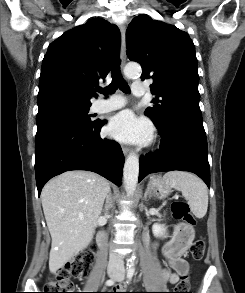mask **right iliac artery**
I'll list each match as a JSON object with an SVG mask.
<instances>
[{"label":"right iliac artery","mask_w":245,"mask_h":293,"mask_svg":"<svg viewBox=\"0 0 245 293\" xmlns=\"http://www.w3.org/2000/svg\"><path fill=\"white\" fill-rule=\"evenodd\" d=\"M114 282L115 281L113 279H109V280L106 281V285L111 286V285L114 284Z\"/></svg>","instance_id":"1"}]
</instances>
